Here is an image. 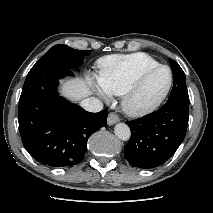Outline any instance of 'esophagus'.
<instances>
[{
    "mask_svg": "<svg viewBox=\"0 0 213 213\" xmlns=\"http://www.w3.org/2000/svg\"><path fill=\"white\" fill-rule=\"evenodd\" d=\"M119 121L118 115L115 113H109L108 118H107V123L108 125H113Z\"/></svg>",
    "mask_w": 213,
    "mask_h": 213,
    "instance_id": "1",
    "label": "esophagus"
}]
</instances>
